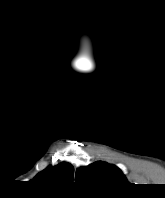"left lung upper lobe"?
Masks as SVG:
<instances>
[{
    "label": "left lung upper lobe",
    "mask_w": 165,
    "mask_h": 198,
    "mask_svg": "<svg viewBox=\"0 0 165 198\" xmlns=\"http://www.w3.org/2000/svg\"><path fill=\"white\" fill-rule=\"evenodd\" d=\"M75 180L99 188H117L128 183L119 168L102 161L78 168Z\"/></svg>",
    "instance_id": "1"
}]
</instances>
